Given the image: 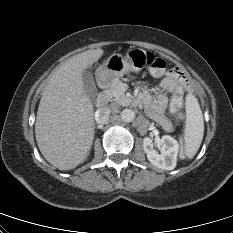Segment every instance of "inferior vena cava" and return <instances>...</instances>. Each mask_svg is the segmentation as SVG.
Segmentation results:
<instances>
[{
    "label": "inferior vena cava",
    "instance_id": "obj_1",
    "mask_svg": "<svg viewBox=\"0 0 233 233\" xmlns=\"http://www.w3.org/2000/svg\"><path fill=\"white\" fill-rule=\"evenodd\" d=\"M111 110L108 107H103L96 111L95 120L98 124H106L109 121Z\"/></svg>",
    "mask_w": 233,
    "mask_h": 233
}]
</instances>
